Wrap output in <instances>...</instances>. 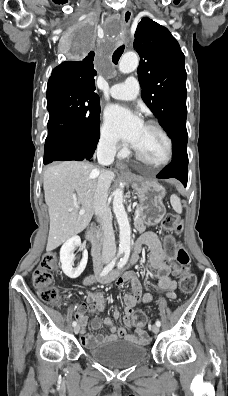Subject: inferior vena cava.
Wrapping results in <instances>:
<instances>
[{
  "mask_svg": "<svg viewBox=\"0 0 228 396\" xmlns=\"http://www.w3.org/2000/svg\"><path fill=\"white\" fill-rule=\"evenodd\" d=\"M116 144L112 141H101L97 148V160L102 166H109L114 162ZM112 181V172L102 169L94 194V213L102 228V253L111 257L116 254L115 236L112 227V216L107 205L108 190Z\"/></svg>",
  "mask_w": 228,
  "mask_h": 396,
  "instance_id": "obj_1",
  "label": "inferior vena cava"
}]
</instances>
